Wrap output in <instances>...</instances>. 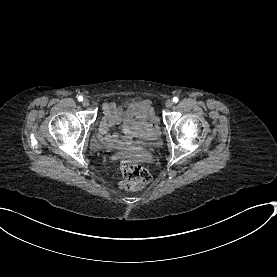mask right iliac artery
<instances>
[{"instance_id":"obj_1","label":"right iliac artery","mask_w":277,"mask_h":277,"mask_svg":"<svg viewBox=\"0 0 277 277\" xmlns=\"http://www.w3.org/2000/svg\"><path fill=\"white\" fill-rule=\"evenodd\" d=\"M78 100H79V101H83V97H82V96H79V97H78Z\"/></svg>"}]
</instances>
